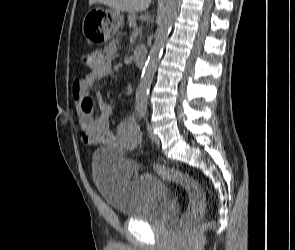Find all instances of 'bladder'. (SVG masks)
Here are the masks:
<instances>
[{"instance_id":"bladder-1","label":"bladder","mask_w":295,"mask_h":250,"mask_svg":"<svg viewBox=\"0 0 295 250\" xmlns=\"http://www.w3.org/2000/svg\"><path fill=\"white\" fill-rule=\"evenodd\" d=\"M126 159L116 149L94 152L92 170L94 182L104 200L119 214L132 220L160 219L170 206V188L158 178L143 172L123 180L128 168Z\"/></svg>"}]
</instances>
